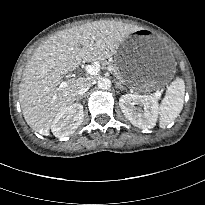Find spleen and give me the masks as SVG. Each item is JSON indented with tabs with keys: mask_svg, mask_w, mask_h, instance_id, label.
<instances>
[{
	"mask_svg": "<svg viewBox=\"0 0 205 205\" xmlns=\"http://www.w3.org/2000/svg\"><path fill=\"white\" fill-rule=\"evenodd\" d=\"M185 83L182 78H175L169 85L160 105V128H165L180 114L184 104Z\"/></svg>",
	"mask_w": 205,
	"mask_h": 205,
	"instance_id": "1",
	"label": "spleen"
}]
</instances>
